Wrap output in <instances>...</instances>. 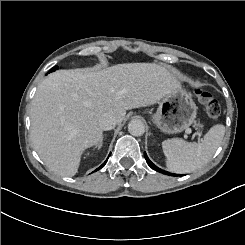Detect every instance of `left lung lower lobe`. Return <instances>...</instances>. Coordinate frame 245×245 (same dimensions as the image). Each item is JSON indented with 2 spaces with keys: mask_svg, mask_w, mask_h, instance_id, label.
<instances>
[{
  "mask_svg": "<svg viewBox=\"0 0 245 245\" xmlns=\"http://www.w3.org/2000/svg\"><path fill=\"white\" fill-rule=\"evenodd\" d=\"M144 156H145V159H146L148 165H149L152 169H154V170H156V171H158V172H160V173H163V174H166V175H170V176H182V175H177V174L169 173V172H167V171H164V170L158 168L156 165H154V164L149 160V158L147 157L146 153H144Z\"/></svg>",
  "mask_w": 245,
  "mask_h": 245,
  "instance_id": "obj_1",
  "label": "left lung lower lobe"
}]
</instances>
